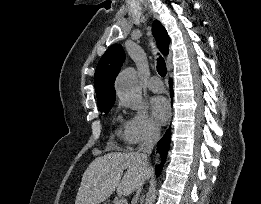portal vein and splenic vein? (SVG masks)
Returning a JSON list of instances; mask_svg holds the SVG:
<instances>
[{"label": "portal vein and splenic vein", "instance_id": "obj_1", "mask_svg": "<svg viewBox=\"0 0 261 204\" xmlns=\"http://www.w3.org/2000/svg\"><path fill=\"white\" fill-rule=\"evenodd\" d=\"M117 204H127L126 199H120Z\"/></svg>", "mask_w": 261, "mask_h": 204}]
</instances>
